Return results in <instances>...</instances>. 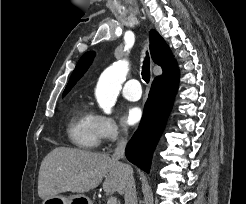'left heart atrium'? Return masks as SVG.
Here are the masks:
<instances>
[{"instance_id":"1","label":"left heart atrium","mask_w":246,"mask_h":204,"mask_svg":"<svg viewBox=\"0 0 246 204\" xmlns=\"http://www.w3.org/2000/svg\"><path fill=\"white\" fill-rule=\"evenodd\" d=\"M143 112L138 106H130L125 113V121L129 125H136L142 119Z\"/></svg>"}]
</instances>
